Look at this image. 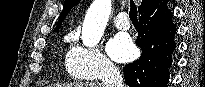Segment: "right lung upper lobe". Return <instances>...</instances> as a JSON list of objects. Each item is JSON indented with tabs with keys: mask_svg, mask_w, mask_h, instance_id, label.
I'll list each match as a JSON object with an SVG mask.
<instances>
[{
	"mask_svg": "<svg viewBox=\"0 0 205 87\" xmlns=\"http://www.w3.org/2000/svg\"><path fill=\"white\" fill-rule=\"evenodd\" d=\"M80 0H65L64 2V6H63V10L60 14L59 17V21L58 24L56 26V28L54 29V31H57L60 27L61 24L63 22V20L65 19L66 15L70 12V10L79 2ZM157 0H142V4L140 5V7L138 8L139 13L143 10H145L146 8H148L149 6H151L153 3H155Z\"/></svg>",
	"mask_w": 205,
	"mask_h": 87,
	"instance_id": "right-lung-upper-lobe-1",
	"label": "right lung upper lobe"
}]
</instances>
